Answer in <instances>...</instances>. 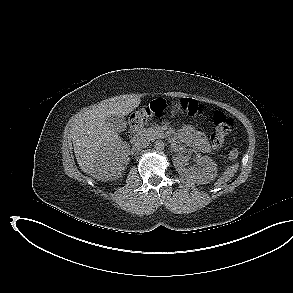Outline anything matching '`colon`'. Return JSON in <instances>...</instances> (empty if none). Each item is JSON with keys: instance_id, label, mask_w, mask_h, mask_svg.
<instances>
[{"instance_id": "5ec220e1", "label": "colon", "mask_w": 293, "mask_h": 293, "mask_svg": "<svg viewBox=\"0 0 293 293\" xmlns=\"http://www.w3.org/2000/svg\"><path fill=\"white\" fill-rule=\"evenodd\" d=\"M181 105L184 111L190 116L198 115L202 107L194 99H183ZM166 109V104L163 100H155L149 105L137 109L129 120V133L135 134L142 126L153 117H160ZM233 120L226 114L216 111L213 114V124L215 131L211 135V143L214 147H221L224 143L226 135L229 133ZM239 155L237 147H233L229 152V158L236 160Z\"/></svg>"}]
</instances>
